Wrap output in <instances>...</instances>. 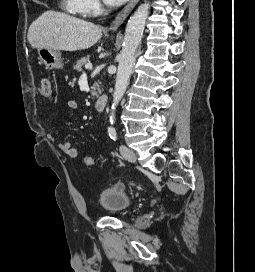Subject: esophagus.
<instances>
[{
	"instance_id": "1",
	"label": "esophagus",
	"mask_w": 255,
	"mask_h": 272,
	"mask_svg": "<svg viewBox=\"0 0 255 272\" xmlns=\"http://www.w3.org/2000/svg\"><path fill=\"white\" fill-rule=\"evenodd\" d=\"M139 0H130L129 3L118 13L114 21L109 27V31H116L119 26L124 22L130 12L133 10Z\"/></svg>"
}]
</instances>
